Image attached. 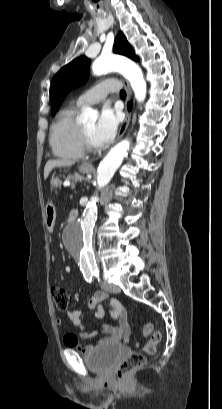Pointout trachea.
<instances>
[{"mask_svg": "<svg viewBox=\"0 0 222 409\" xmlns=\"http://www.w3.org/2000/svg\"><path fill=\"white\" fill-rule=\"evenodd\" d=\"M120 97L121 98H126V92L124 90L120 91Z\"/></svg>", "mask_w": 222, "mask_h": 409, "instance_id": "3493384b", "label": "trachea"}]
</instances>
